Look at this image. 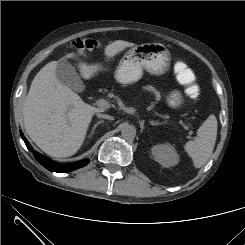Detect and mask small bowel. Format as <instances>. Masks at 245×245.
Instances as JSON below:
<instances>
[{"instance_id":"1","label":"small bowel","mask_w":245,"mask_h":245,"mask_svg":"<svg viewBox=\"0 0 245 245\" xmlns=\"http://www.w3.org/2000/svg\"><path fill=\"white\" fill-rule=\"evenodd\" d=\"M174 71L180 83L194 81V74L185 63L180 61L176 62L174 65Z\"/></svg>"}]
</instances>
